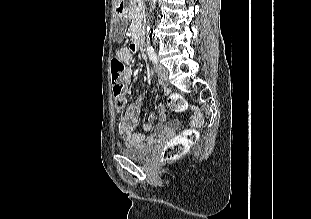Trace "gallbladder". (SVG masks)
<instances>
[{
	"label": "gallbladder",
	"instance_id": "1",
	"mask_svg": "<svg viewBox=\"0 0 311 219\" xmlns=\"http://www.w3.org/2000/svg\"><path fill=\"white\" fill-rule=\"evenodd\" d=\"M126 22L123 19H116L111 28L113 41L120 42L125 36Z\"/></svg>",
	"mask_w": 311,
	"mask_h": 219
}]
</instances>
